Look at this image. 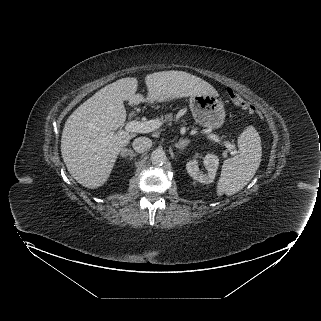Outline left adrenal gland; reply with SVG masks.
<instances>
[{"label":"left adrenal gland","instance_id":"a2214340","mask_svg":"<svg viewBox=\"0 0 321 321\" xmlns=\"http://www.w3.org/2000/svg\"><path fill=\"white\" fill-rule=\"evenodd\" d=\"M190 143V140L181 139L178 143L175 144V147L177 149H184L188 144Z\"/></svg>","mask_w":321,"mask_h":321}]
</instances>
